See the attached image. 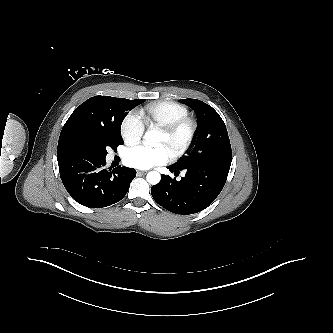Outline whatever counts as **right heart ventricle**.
Masks as SVG:
<instances>
[{
  "label": "right heart ventricle",
  "instance_id": "e07e8e85",
  "mask_svg": "<svg viewBox=\"0 0 333 333\" xmlns=\"http://www.w3.org/2000/svg\"><path fill=\"white\" fill-rule=\"evenodd\" d=\"M189 114L188 107L174 100H160L148 103L139 111L145 126H166Z\"/></svg>",
  "mask_w": 333,
  "mask_h": 333
}]
</instances>
